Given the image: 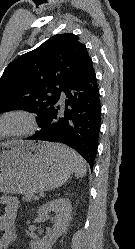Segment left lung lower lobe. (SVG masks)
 <instances>
[{
  "label": "left lung lower lobe",
  "mask_w": 135,
  "mask_h": 249,
  "mask_svg": "<svg viewBox=\"0 0 135 249\" xmlns=\"http://www.w3.org/2000/svg\"><path fill=\"white\" fill-rule=\"evenodd\" d=\"M63 92L65 103L59 96L40 124L41 130L28 139L66 144L75 149L92 170L101 125L100 95L93 66Z\"/></svg>",
  "instance_id": "obj_1"
}]
</instances>
